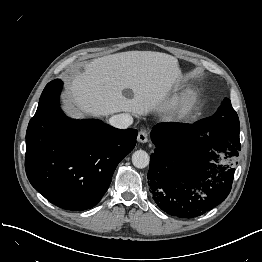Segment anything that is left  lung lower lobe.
<instances>
[{
	"instance_id": "left-lung-lower-lobe-1",
	"label": "left lung lower lobe",
	"mask_w": 262,
	"mask_h": 262,
	"mask_svg": "<svg viewBox=\"0 0 262 262\" xmlns=\"http://www.w3.org/2000/svg\"><path fill=\"white\" fill-rule=\"evenodd\" d=\"M155 145L148 183L154 201L179 218L198 217L230 193L235 169L217 153L234 159L241 149L239 131H210L194 124L159 123L152 128Z\"/></svg>"
}]
</instances>
